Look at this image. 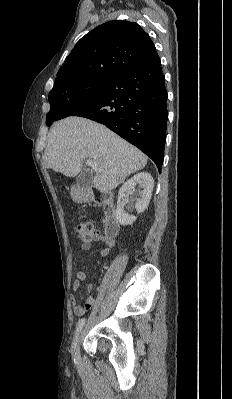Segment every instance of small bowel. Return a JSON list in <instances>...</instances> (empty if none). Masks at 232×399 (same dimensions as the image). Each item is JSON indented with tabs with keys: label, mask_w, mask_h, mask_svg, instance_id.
Masks as SVG:
<instances>
[{
	"label": "small bowel",
	"mask_w": 232,
	"mask_h": 399,
	"mask_svg": "<svg viewBox=\"0 0 232 399\" xmlns=\"http://www.w3.org/2000/svg\"><path fill=\"white\" fill-rule=\"evenodd\" d=\"M92 244L88 241H85L81 245V249L84 252H87L91 249ZM113 246V242H106L104 246L95 254L93 257H104L108 250ZM85 258V255L82 256V260ZM77 280L72 283L73 294L70 296V309L72 315L82 316L89 308L93 305V300L91 297H88L83 304H78V293L81 286V282L86 279V272L84 270H79L77 273ZM93 289V284L88 283L86 286V292L90 293Z\"/></svg>",
	"instance_id": "c3829d8e"
}]
</instances>
